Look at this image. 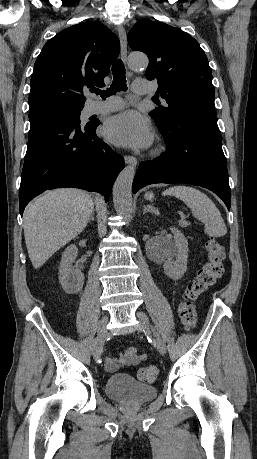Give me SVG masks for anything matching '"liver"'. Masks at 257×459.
Wrapping results in <instances>:
<instances>
[{
  "mask_svg": "<svg viewBox=\"0 0 257 459\" xmlns=\"http://www.w3.org/2000/svg\"><path fill=\"white\" fill-rule=\"evenodd\" d=\"M93 211L91 196L78 189H56L36 198L23 216L25 243L33 267L40 268L79 235Z\"/></svg>",
  "mask_w": 257,
  "mask_h": 459,
  "instance_id": "6515ba94",
  "label": "liver"
}]
</instances>
